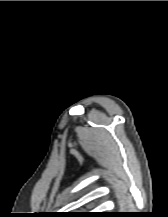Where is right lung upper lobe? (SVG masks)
Masks as SVG:
<instances>
[{"label": "right lung upper lobe", "instance_id": "obj_1", "mask_svg": "<svg viewBox=\"0 0 168 217\" xmlns=\"http://www.w3.org/2000/svg\"><path fill=\"white\" fill-rule=\"evenodd\" d=\"M66 216H70V217H95V216H100V214L99 213L81 212V213H67Z\"/></svg>", "mask_w": 168, "mask_h": 217}]
</instances>
